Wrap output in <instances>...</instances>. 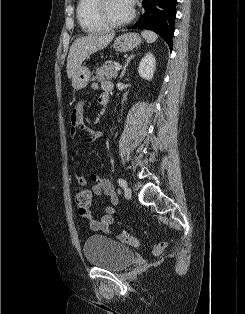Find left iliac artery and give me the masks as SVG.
Here are the masks:
<instances>
[{"label":"left iliac artery","mask_w":245,"mask_h":314,"mask_svg":"<svg viewBox=\"0 0 245 314\" xmlns=\"http://www.w3.org/2000/svg\"><path fill=\"white\" fill-rule=\"evenodd\" d=\"M118 183H119V185H120L122 188H126V187H127V182H126L124 179H122V178H119V179H118Z\"/></svg>","instance_id":"obj_1"}]
</instances>
